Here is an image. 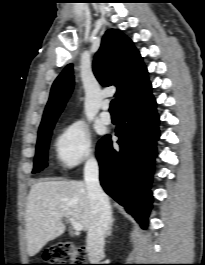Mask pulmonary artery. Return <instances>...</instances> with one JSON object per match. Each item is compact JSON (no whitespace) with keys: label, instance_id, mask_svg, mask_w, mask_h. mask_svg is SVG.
I'll use <instances>...</instances> for the list:
<instances>
[{"label":"pulmonary artery","instance_id":"e3ab8cb5","mask_svg":"<svg viewBox=\"0 0 205 265\" xmlns=\"http://www.w3.org/2000/svg\"><path fill=\"white\" fill-rule=\"evenodd\" d=\"M109 109V103L108 102H104L102 104V112L100 113V117L103 123L105 124H109L111 123V115L108 112Z\"/></svg>","mask_w":205,"mask_h":265}]
</instances>
